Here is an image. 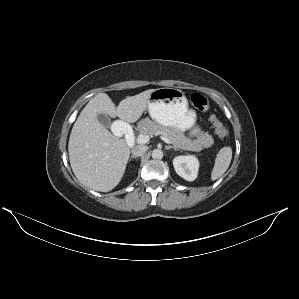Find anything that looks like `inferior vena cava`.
Returning a JSON list of instances; mask_svg holds the SVG:
<instances>
[{"instance_id":"inferior-vena-cava-1","label":"inferior vena cava","mask_w":299,"mask_h":299,"mask_svg":"<svg viewBox=\"0 0 299 299\" xmlns=\"http://www.w3.org/2000/svg\"><path fill=\"white\" fill-rule=\"evenodd\" d=\"M147 150H148L147 146L137 145L132 149V154L133 156H143Z\"/></svg>"}]
</instances>
